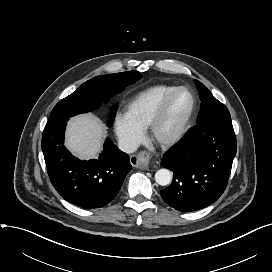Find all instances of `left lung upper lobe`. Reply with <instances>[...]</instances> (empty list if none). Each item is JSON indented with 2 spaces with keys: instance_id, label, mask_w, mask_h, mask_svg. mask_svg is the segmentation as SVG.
I'll list each match as a JSON object with an SVG mask.
<instances>
[{
  "instance_id": "1",
  "label": "left lung upper lobe",
  "mask_w": 272,
  "mask_h": 272,
  "mask_svg": "<svg viewBox=\"0 0 272 272\" xmlns=\"http://www.w3.org/2000/svg\"><path fill=\"white\" fill-rule=\"evenodd\" d=\"M201 99V109L197 118V124L219 118L230 116L225 105L218 101L211 92L198 80H194Z\"/></svg>"
}]
</instances>
